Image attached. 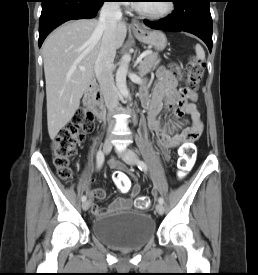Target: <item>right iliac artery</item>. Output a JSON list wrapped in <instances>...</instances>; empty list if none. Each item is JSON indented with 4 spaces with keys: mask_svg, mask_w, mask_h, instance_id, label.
Segmentation results:
<instances>
[{
    "mask_svg": "<svg viewBox=\"0 0 258 275\" xmlns=\"http://www.w3.org/2000/svg\"><path fill=\"white\" fill-rule=\"evenodd\" d=\"M104 162V154L101 150L97 153V168L100 169L102 164ZM82 202L86 201V196H82L81 198Z\"/></svg>",
    "mask_w": 258,
    "mask_h": 275,
    "instance_id": "1",
    "label": "right iliac artery"
}]
</instances>
